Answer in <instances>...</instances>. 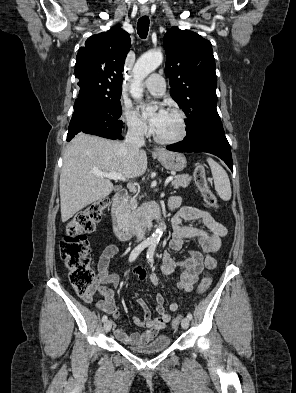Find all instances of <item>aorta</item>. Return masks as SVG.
<instances>
[{
  "instance_id": "aorta-1",
  "label": "aorta",
  "mask_w": 296,
  "mask_h": 393,
  "mask_svg": "<svg viewBox=\"0 0 296 393\" xmlns=\"http://www.w3.org/2000/svg\"><path fill=\"white\" fill-rule=\"evenodd\" d=\"M163 61V55L161 52H148L142 55L136 62L133 69V84L131 86L130 93L134 99H141L143 89L141 87L142 81ZM164 223L160 222L155 232H153L150 240L152 243H157L163 235Z\"/></svg>"
}]
</instances>
